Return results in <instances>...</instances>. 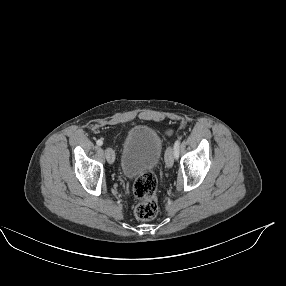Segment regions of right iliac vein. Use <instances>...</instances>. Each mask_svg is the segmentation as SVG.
I'll return each mask as SVG.
<instances>
[{
    "label": "right iliac vein",
    "instance_id": "1",
    "mask_svg": "<svg viewBox=\"0 0 286 286\" xmlns=\"http://www.w3.org/2000/svg\"><path fill=\"white\" fill-rule=\"evenodd\" d=\"M105 156L108 161V163L112 164L115 160V153L112 148H106L105 149Z\"/></svg>",
    "mask_w": 286,
    "mask_h": 286
}]
</instances>
